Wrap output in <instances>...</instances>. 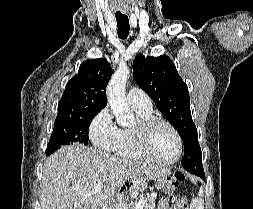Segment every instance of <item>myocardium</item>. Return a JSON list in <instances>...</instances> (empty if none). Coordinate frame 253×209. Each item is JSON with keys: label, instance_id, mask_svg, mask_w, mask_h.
<instances>
[{"label": "myocardium", "instance_id": "1", "mask_svg": "<svg viewBox=\"0 0 253 209\" xmlns=\"http://www.w3.org/2000/svg\"><path fill=\"white\" fill-rule=\"evenodd\" d=\"M157 124H163L167 126L174 134L177 142V153L175 157L169 161H164L156 158L155 156L152 155V153L149 151V137H150V132L152 128L157 125ZM134 134L136 137V144L137 148L140 152V154L147 160L164 165V166H170L175 163H177L182 155L183 151V142L182 138L176 129V127L169 122L166 119L157 117V116H148L145 118H140L139 122L136 124V126L133 128Z\"/></svg>", "mask_w": 253, "mask_h": 209}]
</instances>
